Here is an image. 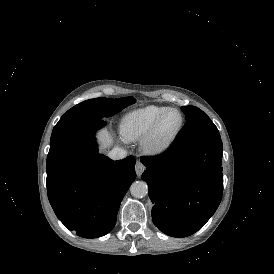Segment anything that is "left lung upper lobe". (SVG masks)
<instances>
[{"mask_svg":"<svg viewBox=\"0 0 274 274\" xmlns=\"http://www.w3.org/2000/svg\"><path fill=\"white\" fill-rule=\"evenodd\" d=\"M186 124L177 136L176 142L206 137H220L219 131L210 118L195 106H182Z\"/></svg>","mask_w":274,"mask_h":274,"instance_id":"5c2ea615","label":"left lung upper lobe"}]
</instances>
